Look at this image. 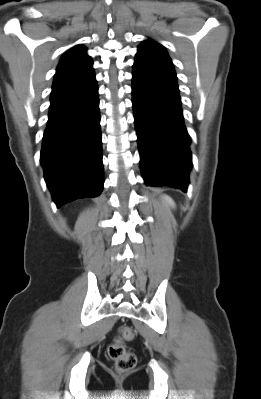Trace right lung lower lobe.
Returning <instances> with one entry per match:
<instances>
[{
  "mask_svg": "<svg viewBox=\"0 0 261 399\" xmlns=\"http://www.w3.org/2000/svg\"><path fill=\"white\" fill-rule=\"evenodd\" d=\"M40 161L57 207L103 190L98 87L94 72L52 88Z\"/></svg>",
  "mask_w": 261,
  "mask_h": 399,
  "instance_id": "1",
  "label": "right lung lower lobe"
}]
</instances>
